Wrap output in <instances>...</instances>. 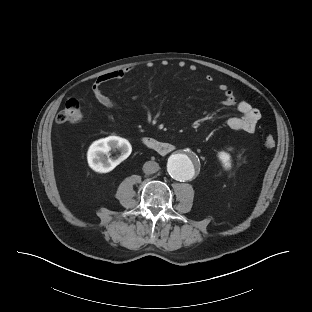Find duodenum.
I'll list each match as a JSON object with an SVG mask.
<instances>
[{
	"label": "duodenum",
	"instance_id": "obj_1",
	"mask_svg": "<svg viewBox=\"0 0 312 312\" xmlns=\"http://www.w3.org/2000/svg\"><path fill=\"white\" fill-rule=\"evenodd\" d=\"M141 142L148 149L159 154H168L175 149V146L173 144L162 142L151 137H143L141 138Z\"/></svg>",
	"mask_w": 312,
	"mask_h": 312
}]
</instances>
